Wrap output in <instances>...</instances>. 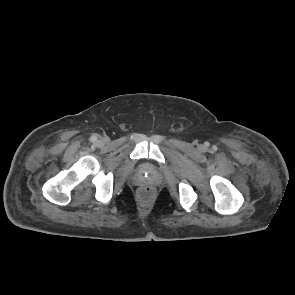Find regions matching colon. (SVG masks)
<instances>
[{
	"label": "colon",
	"mask_w": 295,
	"mask_h": 295,
	"mask_svg": "<svg viewBox=\"0 0 295 295\" xmlns=\"http://www.w3.org/2000/svg\"><path fill=\"white\" fill-rule=\"evenodd\" d=\"M138 194L141 200L149 201L154 194V190L150 186H143L139 189Z\"/></svg>",
	"instance_id": "1"
}]
</instances>
